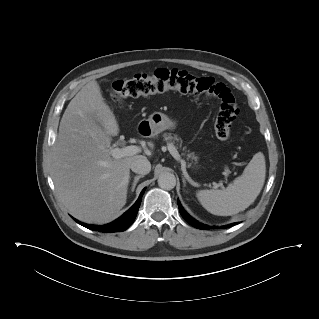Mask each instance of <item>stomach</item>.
Listing matches in <instances>:
<instances>
[{
  "label": "stomach",
  "mask_w": 319,
  "mask_h": 319,
  "mask_svg": "<svg viewBox=\"0 0 319 319\" xmlns=\"http://www.w3.org/2000/svg\"><path fill=\"white\" fill-rule=\"evenodd\" d=\"M146 121L152 135H157L165 130H173L176 127V122L161 112L152 113Z\"/></svg>",
  "instance_id": "obj_1"
}]
</instances>
